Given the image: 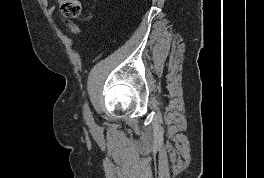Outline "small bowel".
<instances>
[{
  "label": "small bowel",
  "mask_w": 264,
  "mask_h": 178,
  "mask_svg": "<svg viewBox=\"0 0 264 178\" xmlns=\"http://www.w3.org/2000/svg\"><path fill=\"white\" fill-rule=\"evenodd\" d=\"M42 3L48 7V11L50 13H54L55 12V6H48V0H42ZM65 24L67 25V27L73 32V33H78L79 32V27L73 23L70 20H65Z\"/></svg>",
  "instance_id": "c3829d8e"
}]
</instances>
